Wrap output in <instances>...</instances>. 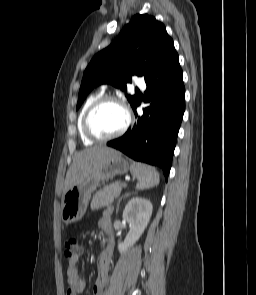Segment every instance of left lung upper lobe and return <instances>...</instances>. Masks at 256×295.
Instances as JSON below:
<instances>
[{"label":"left lung upper lobe","mask_w":256,"mask_h":295,"mask_svg":"<svg viewBox=\"0 0 256 295\" xmlns=\"http://www.w3.org/2000/svg\"><path fill=\"white\" fill-rule=\"evenodd\" d=\"M178 60L165 26L153 16L135 15L115 41L91 60L83 74L76 109L97 85L109 83L125 90L133 75L144 76L146 82L155 80ZM127 99L132 108L139 101L137 96L127 95Z\"/></svg>","instance_id":"left-lung-upper-lobe-1"}]
</instances>
